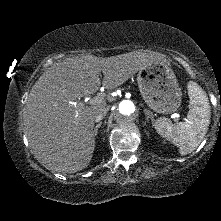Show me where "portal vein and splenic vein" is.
<instances>
[{
	"mask_svg": "<svg viewBox=\"0 0 221 221\" xmlns=\"http://www.w3.org/2000/svg\"><path fill=\"white\" fill-rule=\"evenodd\" d=\"M103 101H104V97L99 94V95L95 96L94 98L90 99L89 103L92 104V105H95V104H100ZM173 116L176 119L181 118V116L179 114H177V113H175Z\"/></svg>",
	"mask_w": 221,
	"mask_h": 221,
	"instance_id": "obj_1",
	"label": "portal vein and splenic vein"
}]
</instances>
